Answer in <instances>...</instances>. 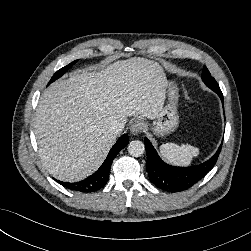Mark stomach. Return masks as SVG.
<instances>
[{"instance_id": "stomach-1", "label": "stomach", "mask_w": 251, "mask_h": 251, "mask_svg": "<svg viewBox=\"0 0 251 251\" xmlns=\"http://www.w3.org/2000/svg\"><path fill=\"white\" fill-rule=\"evenodd\" d=\"M166 95L168 103L153 121L152 129L158 136L170 134L175 131L179 124V115L177 112L178 90L174 81H168Z\"/></svg>"}]
</instances>
